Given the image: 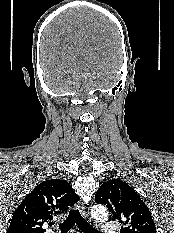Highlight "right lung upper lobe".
<instances>
[{"label":"right lung upper lobe","mask_w":174,"mask_h":233,"mask_svg":"<svg viewBox=\"0 0 174 233\" xmlns=\"http://www.w3.org/2000/svg\"><path fill=\"white\" fill-rule=\"evenodd\" d=\"M79 200L68 182L46 180L37 185L13 213L7 233H44L42 226Z\"/></svg>","instance_id":"1"}]
</instances>
